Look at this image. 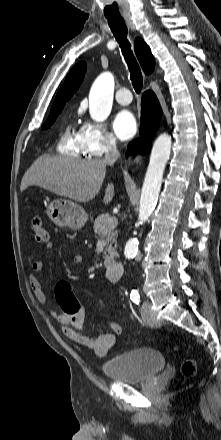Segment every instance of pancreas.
<instances>
[{"label":"pancreas","mask_w":221,"mask_h":440,"mask_svg":"<svg viewBox=\"0 0 221 440\" xmlns=\"http://www.w3.org/2000/svg\"><path fill=\"white\" fill-rule=\"evenodd\" d=\"M111 219L108 213L99 215L94 223L93 228L96 234H104L105 243L107 244L106 251L108 255L105 253L108 259H114L117 256V252L115 251L116 247V235L117 233L114 231V228H109V220ZM113 244L115 247H113Z\"/></svg>","instance_id":"obj_1"}]
</instances>
